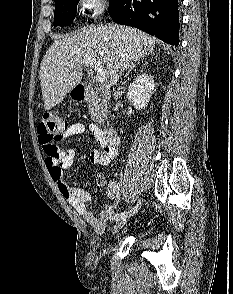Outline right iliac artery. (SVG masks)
<instances>
[{"label": "right iliac artery", "mask_w": 233, "mask_h": 294, "mask_svg": "<svg viewBox=\"0 0 233 294\" xmlns=\"http://www.w3.org/2000/svg\"><path fill=\"white\" fill-rule=\"evenodd\" d=\"M141 205V202L139 200V202L137 203V205L132 209V210H129V211H126V212H122L120 214H116L114 215L111 220H118V219H122L124 217H127V216H131L133 214H135L139 208V206Z\"/></svg>", "instance_id": "1"}]
</instances>
